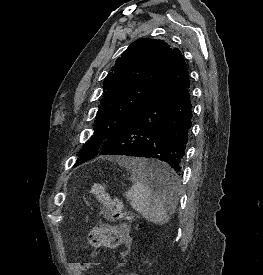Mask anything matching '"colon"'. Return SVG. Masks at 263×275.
<instances>
[{"label":"colon","mask_w":263,"mask_h":275,"mask_svg":"<svg viewBox=\"0 0 263 275\" xmlns=\"http://www.w3.org/2000/svg\"><path fill=\"white\" fill-rule=\"evenodd\" d=\"M91 193L112 218H130L124 211L122 202L112 197L101 183H93L91 185ZM88 243L92 246L115 248L119 245V236L116 230L111 226H100L90 231L88 235ZM81 270H89L98 265L95 261L80 262Z\"/></svg>","instance_id":"colon-1"}]
</instances>
